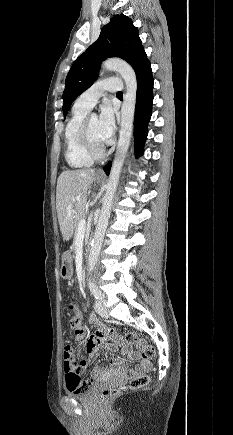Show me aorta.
<instances>
[{"label": "aorta", "mask_w": 233, "mask_h": 435, "mask_svg": "<svg viewBox=\"0 0 233 435\" xmlns=\"http://www.w3.org/2000/svg\"><path fill=\"white\" fill-rule=\"evenodd\" d=\"M104 70L117 71L124 79L126 85V93L123 98L121 108V125L120 135L117 143L115 157L112 163L109 178L106 184V191L102 198V208L100 217L96 225L94 237L91 244V249L88 257V272L91 273L97 263L98 256L101 250L102 242L108 226V221L111 213V206L117 185L120 178L121 169L128 152L130 139L133 131V120L136 104L137 79L133 68L121 59H108L102 64ZM96 114H92L91 118L95 119Z\"/></svg>", "instance_id": "1"}]
</instances>
